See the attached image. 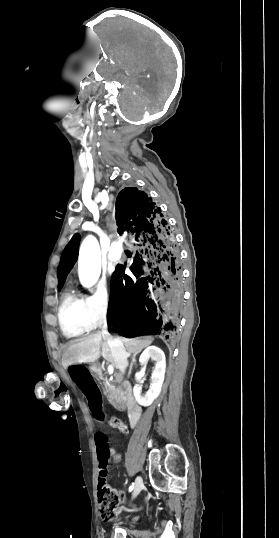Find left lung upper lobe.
I'll return each instance as SVG.
<instances>
[{"mask_svg": "<svg viewBox=\"0 0 279 538\" xmlns=\"http://www.w3.org/2000/svg\"><path fill=\"white\" fill-rule=\"evenodd\" d=\"M79 242L80 235L75 234L63 251L58 267V290L63 286L67 274L77 261Z\"/></svg>", "mask_w": 279, "mask_h": 538, "instance_id": "1", "label": "left lung upper lobe"}]
</instances>
